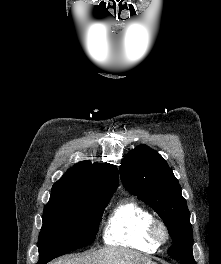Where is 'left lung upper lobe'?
<instances>
[{"label": "left lung upper lobe", "instance_id": "1", "mask_svg": "<svg viewBox=\"0 0 221 264\" xmlns=\"http://www.w3.org/2000/svg\"><path fill=\"white\" fill-rule=\"evenodd\" d=\"M119 172L124 187L152 207L166 224L173 241L167 254L179 260L193 258V231L186 200L161 155L139 145L123 159Z\"/></svg>", "mask_w": 221, "mask_h": 264}]
</instances>
